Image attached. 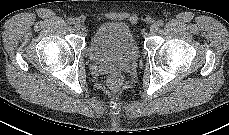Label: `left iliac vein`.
<instances>
[{"label":"left iliac vein","mask_w":229,"mask_h":135,"mask_svg":"<svg viewBox=\"0 0 229 135\" xmlns=\"http://www.w3.org/2000/svg\"><path fill=\"white\" fill-rule=\"evenodd\" d=\"M158 28H159V25L157 23H153L151 26H150V32L151 33H156L158 31Z\"/></svg>","instance_id":"1"}]
</instances>
